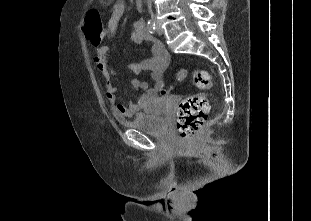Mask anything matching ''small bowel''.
Instances as JSON below:
<instances>
[{
	"label": "small bowel",
	"instance_id": "small-bowel-1",
	"mask_svg": "<svg viewBox=\"0 0 311 221\" xmlns=\"http://www.w3.org/2000/svg\"><path fill=\"white\" fill-rule=\"evenodd\" d=\"M126 4L123 0L116 1L111 9V14L105 28V34L107 36H114L117 32L119 23L124 15ZM137 20L134 23V31L132 34V40L136 43L149 42L151 44L152 58L144 60L140 63H133L128 65V70L133 73L139 74L145 71L150 72L153 86L145 81L139 79H131L129 84L140 91L136 100L132 102L128 107H125L117 100V88L113 83V79L117 77V71L110 66L109 61V47L100 46L96 50L95 63L99 73L101 74L104 85L107 101L110 105L113 115L117 119H123L131 117L140 112L146 103L156 97L158 93L163 89V74L167 69L171 56L164 45L153 39L147 32L145 26H141ZM104 34V35H105Z\"/></svg>",
	"mask_w": 311,
	"mask_h": 221
}]
</instances>
